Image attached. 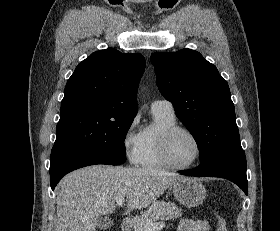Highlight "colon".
<instances>
[{"instance_id":"colon-1","label":"colon","mask_w":280,"mask_h":231,"mask_svg":"<svg viewBox=\"0 0 280 231\" xmlns=\"http://www.w3.org/2000/svg\"><path fill=\"white\" fill-rule=\"evenodd\" d=\"M217 231H228L227 224L220 215H217Z\"/></svg>"}]
</instances>
